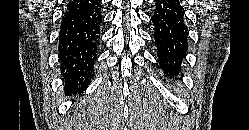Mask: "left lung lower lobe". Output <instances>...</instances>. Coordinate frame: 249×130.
Returning <instances> with one entry per match:
<instances>
[{"label":"left lung lower lobe","mask_w":249,"mask_h":130,"mask_svg":"<svg viewBox=\"0 0 249 130\" xmlns=\"http://www.w3.org/2000/svg\"><path fill=\"white\" fill-rule=\"evenodd\" d=\"M158 62L170 77L179 74L188 50V28L184 8L178 0H155L151 16Z\"/></svg>","instance_id":"left-lung-lower-lobe-1"}]
</instances>
